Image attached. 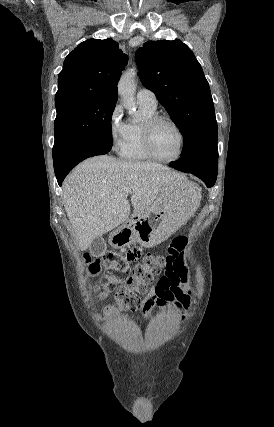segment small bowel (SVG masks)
<instances>
[{"label":"small bowel","mask_w":274,"mask_h":427,"mask_svg":"<svg viewBox=\"0 0 274 427\" xmlns=\"http://www.w3.org/2000/svg\"><path fill=\"white\" fill-rule=\"evenodd\" d=\"M169 252H186V245H169ZM169 262L178 260V263L171 264L169 269L164 271V276L161 277L148 291L146 296L142 299L139 306V313L143 319L134 318L133 321L137 327H141L149 322L148 312L155 305H165L168 303H175L178 308L183 307V303L188 300L190 293L187 285V272L184 266L183 254L169 253L166 256Z\"/></svg>","instance_id":"c3829d8e"}]
</instances>
